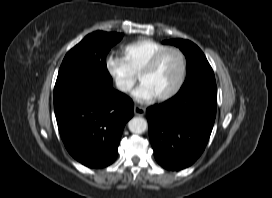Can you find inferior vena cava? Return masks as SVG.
<instances>
[{"mask_svg":"<svg viewBox=\"0 0 272 198\" xmlns=\"http://www.w3.org/2000/svg\"><path fill=\"white\" fill-rule=\"evenodd\" d=\"M117 88H118L119 90H121V91H124V92L129 91V90L131 89V87H130L128 84H126V83H121V82H118V83H117Z\"/></svg>","mask_w":272,"mask_h":198,"instance_id":"602c4592","label":"inferior vena cava"}]
</instances>
